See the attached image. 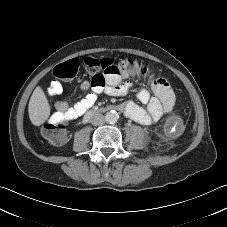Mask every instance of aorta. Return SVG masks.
Returning a JSON list of instances; mask_svg holds the SVG:
<instances>
[{
    "label": "aorta",
    "mask_w": 227,
    "mask_h": 227,
    "mask_svg": "<svg viewBox=\"0 0 227 227\" xmlns=\"http://www.w3.org/2000/svg\"><path fill=\"white\" fill-rule=\"evenodd\" d=\"M118 118H119V115L114 110L107 112L106 115H105V120L108 123H115V122H117Z\"/></svg>",
    "instance_id": "obj_1"
}]
</instances>
